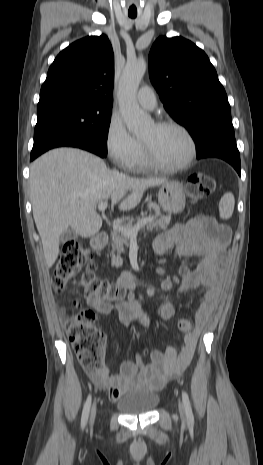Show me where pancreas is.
Here are the masks:
<instances>
[{"label": "pancreas", "instance_id": "cf45deb5", "mask_svg": "<svg viewBox=\"0 0 263 465\" xmlns=\"http://www.w3.org/2000/svg\"><path fill=\"white\" fill-rule=\"evenodd\" d=\"M151 218L152 220L148 222L146 225L141 226L140 228L146 227L147 229H156V230H165L167 229L169 223H170V216H162L159 211H155L154 214H150L149 217H147L146 213H142L141 217H138L135 220L131 218L127 224L123 225V228L126 229H133L138 223H141L142 221ZM130 237L124 234L123 231L117 230L114 231L111 234V240L112 244L111 247L114 251L117 252V255L112 256V266L119 267L123 263V259L121 258V253L125 251L124 246L129 245Z\"/></svg>", "mask_w": 263, "mask_h": 465}]
</instances>
